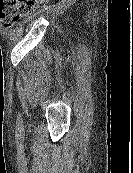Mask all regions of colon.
I'll return each mask as SVG.
<instances>
[{"label": "colon", "instance_id": "1", "mask_svg": "<svg viewBox=\"0 0 133 173\" xmlns=\"http://www.w3.org/2000/svg\"><path fill=\"white\" fill-rule=\"evenodd\" d=\"M48 0H0V25L9 26Z\"/></svg>", "mask_w": 133, "mask_h": 173}]
</instances>
